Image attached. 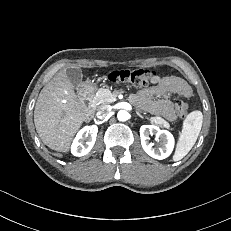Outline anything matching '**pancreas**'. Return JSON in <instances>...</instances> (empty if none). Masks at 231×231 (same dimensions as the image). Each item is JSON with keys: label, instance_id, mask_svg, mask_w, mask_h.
I'll return each instance as SVG.
<instances>
[{"label": "pancreas", "instance_id": "pancreas-1", "mask_svg": "<svg viewBox=\"0 0 231 231\" xmlns=\"http://www.w3.org/2000/svg\"><path fill=\"white\" fill-rule=\"evenodd\" d=\"M116 96L117 94L115 92H111L106 88H100L94 96L93 101L97 104L113 103L116 101ZM150 121L163 127L169 128V123L161 117H152L150 118Z\"/></svg>", "mask_w": 231, "mask_h": 231}]
</instances>
